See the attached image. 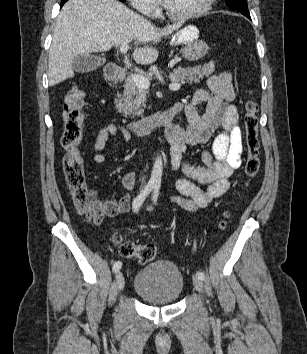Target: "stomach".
<instances>
[{"mask_svg": "<svg viewBox=\"0 0 307 354\" xmlns=\"http://www.w3.org/2000/svg\"><path fill=\"white\" fill-rule=\"evenodd\" d=\"M199 31L189 25L177 32L171 39L174 46L184 45L182 49V57L188 61H198L202 59L209 50L207 43L198 39Z\"/></svg>", "mask_w": 307, "mask_h": 354, "instance_id": "0dacf381", "label": "stomach"}]
</instances>
